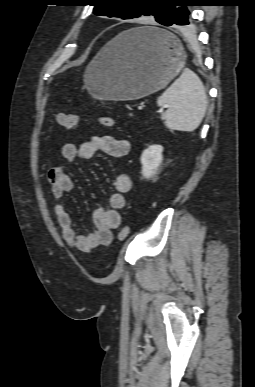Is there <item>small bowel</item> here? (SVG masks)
I'll return each instance as SVG.
<instances>
[{
	"label": "small bowel",
	"instance_id": "small-bowel-1",
	"mask_svg": "<svg viewBox=\"0 0 255 387\" xmlns=\"http://www.w3.org/2000/svg\"><path fill=\"white\" fill-rule=\"evenodd\" d=\"M130 151L127 139L111 135H97L88 141L75 145L68 143L62 147V156L67 160H87L97 153H103L115 160L125 157ZM47 180L51 193L57 203L54 214L61 229L62 237L68 246L89 253L99 246H107L113 240L112 231L121 224L119 210L125 206V194L131 190L132 181L125 173L118 174L114 179V192L109 197V208H97L92 219L95 231L89 234H79L73 227L71 215L62 202L65 195L74 188L72 178L60 167H52L47 171Z\"/></svg>",
	"mask_w": 255,
	"mask_h": 387
}]
</instances>
